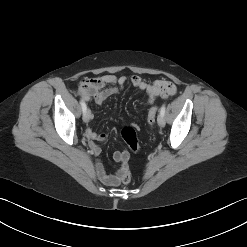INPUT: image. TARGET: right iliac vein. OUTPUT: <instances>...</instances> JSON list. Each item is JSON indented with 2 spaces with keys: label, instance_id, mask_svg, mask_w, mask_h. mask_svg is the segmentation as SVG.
Here are the masks:
<instances>
[{
  "label": "right iliac vein",
  "instance_id": "1",
  "mask_svg": "<svg viewBox=\"0 0 247 247\" xmlns=\"http://www.w3.org/2000/svg\"><path fill=\"white\" fill-rule=\"evenodd\" d=\"M90 118H91V112L90 110H86V112L83 115L84 122L88 123L90 121Z\"/></svg>",
  "mask_w": 247,
  "mask_h": 247
}]
</instances>
